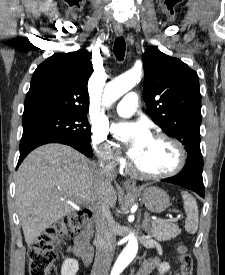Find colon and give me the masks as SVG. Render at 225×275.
<instances>
[{"mask_svg": "<svg viewBox=\"0 0 225 275\" xmlns=\"http://www.w3.org/2000/svg\"><path fill=\"white\" fill-rule=\"evenodd\" d=\"M92 219L83 209L47 227L29 249V275H49L56 259L55 249L61 238H66L87 226ZM180 275H193V261L184 245L179 246Z\"/></svg>", "mask_w": 225, "mask_h": 275, "instance_id": "5ec220e1", "label": "colon"}]
</instances>
